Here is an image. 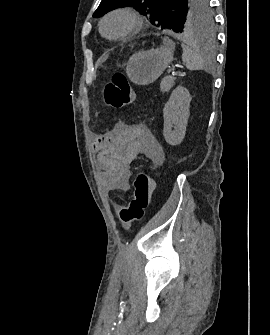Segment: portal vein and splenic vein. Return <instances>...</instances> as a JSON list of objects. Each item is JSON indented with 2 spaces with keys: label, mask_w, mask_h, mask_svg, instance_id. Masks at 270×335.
Returning a JSON list of instances; mask_svg holds the SVG:
<instances>
[{
  "label": "portal vein and splenic vein",
  "mask_w": 270,
  "mask_h": 335,
  "mask_svg": "<svg viewBox=\"0 0 270 335\" xmlns=\"http://www.w3.org/2000/svg\"><path fill=\"white\" fill-rule=\"evenodd\" d=\"M176 72H170V75H173V74H175Z\"/></svg>",
  "instance_id": "obj_1"
}]
</instances>
